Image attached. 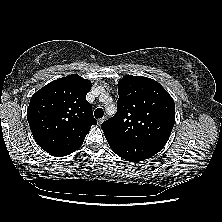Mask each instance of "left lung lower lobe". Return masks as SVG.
<instances>
[{"label": "left lung lower lobe", "instance_id": "0a47b994", "mask_svg": "<svg viewBox=\"0 0 222 222\" xmlns=\"http://www.w3.org/2000/svg\"><path fill=\"white\" fill-rule=\"evenodd\" d=\"M111 149L121 158L130 162H139L151 158L162 147L150 144H131L105 136Z\"/></svg>", "mask_w": 222, "mask_h": 222}]
</instances>
